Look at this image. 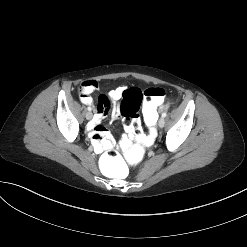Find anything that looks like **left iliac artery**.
Here are the masks:
<instances>
[{"label": "left iliac artery", "instance_id": "1", "mask_svg": "<svg viewBox=\"0 0 247 247\" xmlns=\"http://www.w3.org/2000/svg\"><path fill=\"white\" fill-rule=\"evenodd\" d=\"M167 116V113L166 112H163L162 113V117L164 118V117H166Z\"/></svg>", "mask_w": 247, "mask_h": 247}]
</instances>
